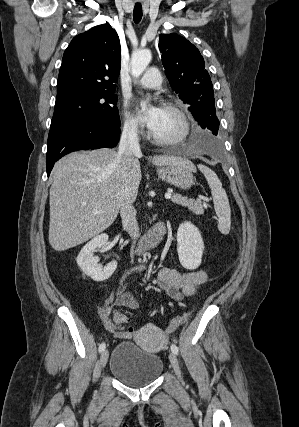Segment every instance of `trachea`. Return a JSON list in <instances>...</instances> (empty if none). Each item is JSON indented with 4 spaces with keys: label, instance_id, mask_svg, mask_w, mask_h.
<instances>
[{
    "label": "trachea",
    "instance_id": "1",
    "mask_svg": "<svg viewBox=\"0 0 299 427\" xmlns=\"http://www.w3.org/2000/svg\"><path fill=\"white\" fill-rule=\"evenodd\" d=\"M142 19V6L141 4H136L133 10V20L138 24Z\"/></svg>",
    "mask_w": 299,
    "mask_h": 427
}]
</instances>
